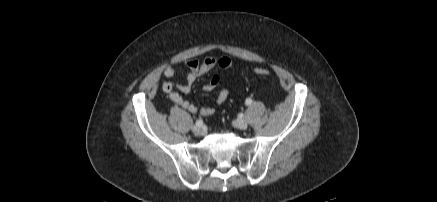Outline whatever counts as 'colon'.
<instances>
[{
    "label": "colon",
    "instance_id": "5ec220e1",
    "mask_svg": "<svg viewBox=\"0 0 437 202\" xmlns=\"http://www.w3.org/2000/svg\"><path fill=\"white\" fill-rule=\"evenodd\" d=\"M254 73L256 74V75H258V76H262V77H265V76H268L269 75V70L268 69H266V68H255L254 69Z\"/></svg>",
    "mask_w": 437,
    "mask_h": 202
}]
</instances>
